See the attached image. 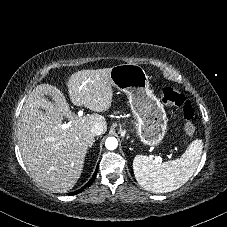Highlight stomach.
I'll list each match as a JSON object with an SVG mask.
<instances>
[{
    "label": "stomach",
    "instance_id": "obj_1",
    "mask_svg": "<svg viewBox=\"0 0 227 227\" xmlns=\"http://www.w3.org/2000/svg\"><path fill=\"white\" fill-rule=\"evenodd\" d=\"M112 86L127 94L136 118V135L147 146H158L167 130V115L163 105L150 89L145 70L127 63L113 66L110 71Z\"/></svg>",
    "mask_w": 227,
    "mask_h": 227
}]
</instances>
